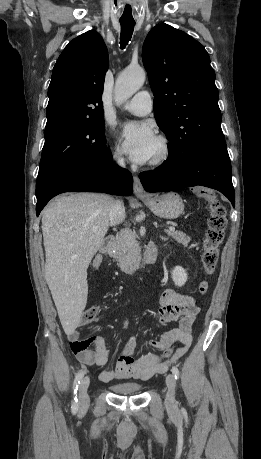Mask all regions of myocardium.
I'll use <instances>...</instances> for the list:
<instances>
[{"instance_id": "1", "label": "myocardium", "mask_w": 261, "mask_h": 459, "mask_svg": "<svg viewBox=\"0 0 261 459\" xmlns=\"http://www.w3.org/2000/svg\"><path fill=\"white\" fill-rule=\"evenodd\" d=\"M157 141L159 143L160 151L155 158L148 162L149 167H159L163 165L170 157L171 149L168 139L164 136H158Z\"/></svg>"}]
</instances>
